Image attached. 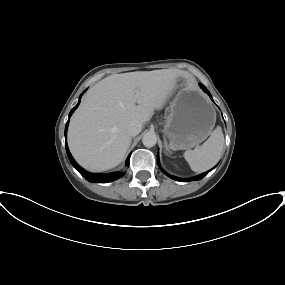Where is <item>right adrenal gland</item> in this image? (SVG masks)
Segmentation results:
<instances>
[{"label":"right adrenal gland","instance_id":"1","mask_svg":"<svg viewBox=\"0 0 285 285\" xmlns=\"http://www.w3.org/2000/svg\"><path fill=\"white\" fill-rule=\"evenodd\" d=\"M131 142H132V138L130 139V144H131Z\"/></svg>","mask_w":285,"mask_h":285}]
</instances>
